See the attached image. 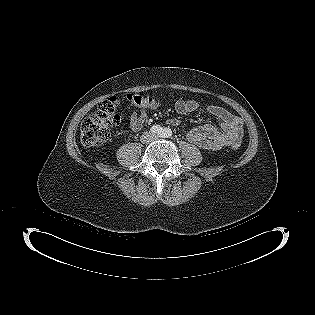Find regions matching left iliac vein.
I'll list each match as a JSON object with an SVG mask.
<instances>
[{
  "label": "left iliac vein",
  "mask_w": 315,
  "mask_h": 315,
  "mask_svg": "<svg viewBox=\"0 0 315 315\" xmlns=\"http://www.w3.org/2000/svg\"><path fill=\"white\" fill-rule=\"evenodd\" d=\"M153 139H155V140L158 139V136H154Z\"/></svg>",
  "instance_id": "4c4485c4"
}]
</instances>
